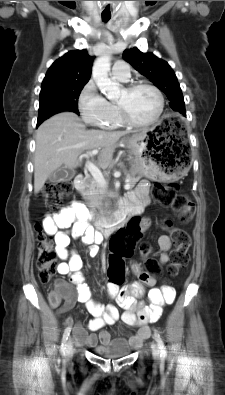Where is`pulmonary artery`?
<instances>
[{
    "instance_id": "1",
    "label": "pulmonary artery",
    "mask_w": 225,
    "mask_h": 395,
    "mask_svg": "<svg viewBox=\"0 0 225 395\" xmlns=\"http://www.w3.org/2000/svg\"><path fill=\"white\" fill-rule=\"evenodd\" d=\"M112 76L119 81H127L130 77L129 65L124 61H117L112 68Z\"/></svg>"
}]
</instances>
